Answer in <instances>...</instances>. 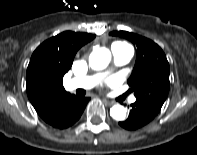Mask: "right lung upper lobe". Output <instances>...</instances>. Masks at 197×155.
Returning <instances> with one entry per match:
<instances>
[{"instance_id": "right-lung-upper-lobe-1", "label": "right lung upper lobe", "mask_w": 197, "mask_h": 155, "mask_svg": "<svg viewBox=\"0 0 197 155\" xmlns=\"http://www.w3.org/2000/svg\"><path fill=\"white\" fill-rule=\"evenodd\" d=\"M95 38L88 33L65 31L37 47L26 73L27 95L38 115L49 122L72 96L63 87L76 52Z\"/></svg>"}]
</instances>
